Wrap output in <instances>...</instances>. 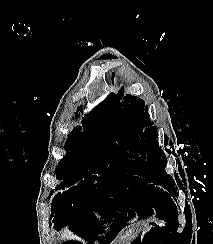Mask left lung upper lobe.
I'll return each instance as SVG.
<instances>
[{"instance_id":"5c2ea615","label":"left lung upper lobe","mask_w":213,"mask_h":244,"mask_svg":"<svg viewBox=\"0 0 213 244\" xmlns=\"http://www.w3.org/2000/svg\"><path fill=\"white\" fill-rule=\"evenodd\" d=\"M115 126L119 127L128 140L130 152L135 155L136 166L154 174L159 183L165 184L173 192L176 191L173 178L166 174V156L159 147L156 127L149 119L145 102L135 96H123L120 92L110 94L105 101Z\"/></svg>"}]
</instances>
